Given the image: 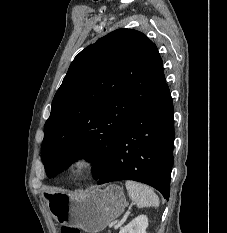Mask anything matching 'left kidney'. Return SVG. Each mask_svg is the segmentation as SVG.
<instances>
[{"instance_id":"5707ae66","label":"left kidney","mask_w":227,"mask_h":233,"mask_svg":"<svg viewBox=\"0 0 227 233\" xmlns=\"http://www.w3.org/2000/svg\"><path fill=\"white\" fill-rule=\"evenodd\" d=\"M148 218L146 215H139L129 224L121 228L119 233H146Z\"/></svg>"}]
</instances>
